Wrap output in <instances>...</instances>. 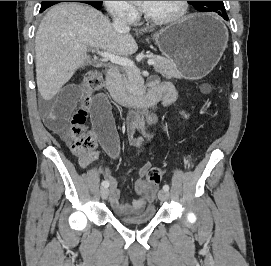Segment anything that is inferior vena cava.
Wrapping results in <instances>:
<instances>
[{
  "label": "inferior vena cava",
  "instance_id": "1",
  "mask_svg": "<svg viewBox=\"0 0 271 266\" xmlns=\"http://www.w3.org/2000/svg\"><path fill=\"white\" fill-rule=\"evenodd\" d=\"M112 26L117 32H127L130 30L129 26L124 20L123 15H118L117 17H115Z\"/></svg>",
  "mask_w": 271,
  "mask_h": 266
}]
</instances>
